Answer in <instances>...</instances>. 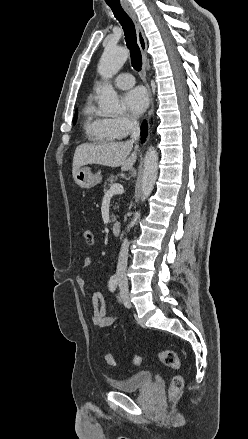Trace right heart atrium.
I'll return each instance as SVG.
<instances>
[{"instance_id": "1", "label": "right heart atrium", "mask_w": 248, "mask_h": 439, "mask_svg": "<svg viewBox=\"0 0 248 439\" xmlns=\"http://www.w3.org/2000/svg\"><path fill=\"white\" fill-rule=\"evenodd\" d=\"M109 124L111 129L120 137L129 135L138 125L137 120L130 115L109 118Z\"/></svg>"}]
</instances>
